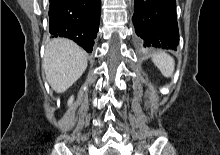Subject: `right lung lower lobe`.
Listing matches in <instances>:
<instances>
[{
    "label": "right lung lower lobe",
    "mask_w": 220,
    "mask_h": 155,
    "mask_svg": "<svg viewBox=\"0 0 220 155\" xmlns=\"http://www.w3.org/2000/svg\"><path fill=\"white\" fill-rule=\"evenodd\" d=\"M49 31L91 52L97 36L101 0H49Z\"/></svg>",
    "instance_id": "obj_1"
}]
</instances>
